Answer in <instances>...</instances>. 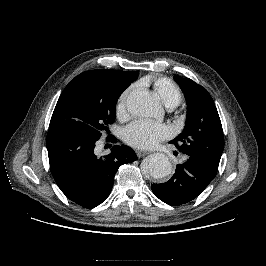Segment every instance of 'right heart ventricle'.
I'll return each instance as SVG.
<instances>
[{"instance_id": "1", "label": "right heart ventricle", "mask_w": 266, "mask_h": 266, "mask_svg": "<svg viewBox=\"0 0 266 266\" xmlns=\"http://www.w3.org/2000/svg\"><path fill=\"white\" fill-rule=\"evenodd\" d=\"M152 83L155 91L166 104L172 108L178 105L182 100L180 88L167 77H151L142 80V84Z\"/></svg>"}]
</instances>
